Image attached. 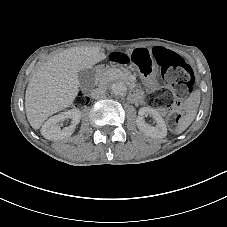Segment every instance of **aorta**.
<instances>
[{
  "label": "aorta",
  "instance_id": "aorta-1",
  "mask_svg": "<svg viewBox=\"0 0 227 227\" xmlns=\"http://www.w3.org/2000/svg\"><path fill=\"white\" fill-rule=\"evenodd\" d=\"M112 93L115 96H125L127 93V87L123 82L117 81L111 86Z\"/></svg>",
  "mask_w": 227,
  "mask_h": 227
}]
</instances>
